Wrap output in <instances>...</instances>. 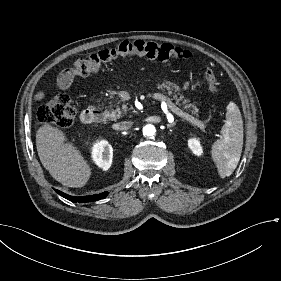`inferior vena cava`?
<instances>
[{
    "label": "inferior vena cava",
    "mask_w": 281,
    "mask_h": 281,
    "mask_svg": "<svg viewBox=\"0 0 281 281\" xmlns=\"http://www.w3.org/2000/svg\"><path fill=\"white\" fill-rule=\"evenodd\" d=\"M131 127L129 122H120L118 123V130H128Z\"/></svg>",
    "instance_id": "obj_1"
}]
</instances>
